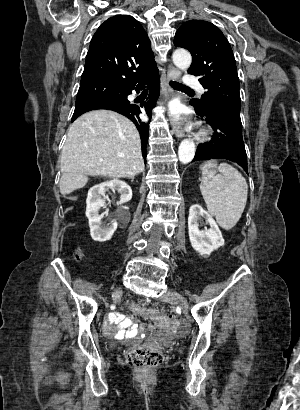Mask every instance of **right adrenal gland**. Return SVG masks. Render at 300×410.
Segmentation results:
<instances>
[{
	"label": "right adrenal gland",
	"mask_w": 300,
	"mask_h": 410,
	"mask_svg": "<svg viewBox=\"0 0 300 410\" xmlns=\"http://www.w3.org/2000/svg\"><path fill=\"white\" fill-rule=\"evenodd\" d=\"M129 179H131V182H133L134 181V176L129 177Z\"/></svg>",
	"instance_id": "1"
}]
</instances>
